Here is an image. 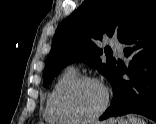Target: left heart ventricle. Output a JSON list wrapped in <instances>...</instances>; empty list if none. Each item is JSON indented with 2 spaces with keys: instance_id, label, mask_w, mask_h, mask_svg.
Here are the masks:
<instances>
[{
  "instance_id": "b2bd125f",
  "label": "left heart ventricle",
  "mask_w": 156,
  "mask_h": 124,
  "mask_svg": "<svg viewBox=\"0 0 156 124\" xmlns=\"http://www.w3.org/2000/svg\"><path fill=\"white\" fill-rule=\"evenodd\" d=\"M104 101L102 88L95 83H83L74 88L67 97L68 107L80 116L97 112Z\"/></svg>"
}]
</instances>
